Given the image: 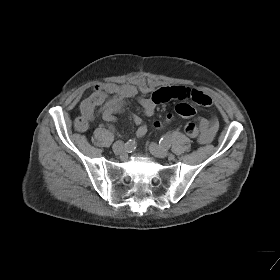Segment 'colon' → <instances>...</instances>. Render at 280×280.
Listing matches in <instances>:
<instances>
[{"mask_svg":"<svg viewBox=\"0 0 280 280\" xmlns=\"http://www.w3.org/2000/svg\"><path fill=\"white\" fill-rule=\"evenodd\" d=\"M176 113L180 116L186 117V118H190L193 117L195 114V109L187 104V103H181L178 104L176 106ZM172 120V116L168 115L167 118L164 121H157L155 122V127L156 128H162L164 127L167 123H169ZM86 121L82 118L79 117L76 122H75V126L78 130H82L86 127ZM186 133L187 134H193L196 132V125L194 123H190L187 127H186Z\"/></svg>","mask_w":280,"mask_h":280,"instance_id":"5ec220e1","label":"colon"}]
</instances>
